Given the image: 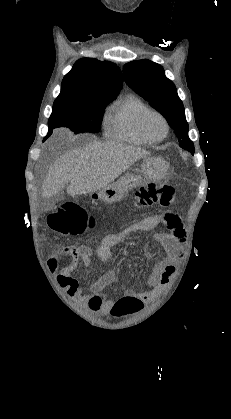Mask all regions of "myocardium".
<instances>
[{"mask_svg":"<svg viewBox=\"0 0 231 419\" xmlns=\"http://www.w3.org/2000/svg\"><path fill=\"white\" fill-rule=\"evenodd\" d=\"M152 115H156V116H158V117H160L161 118V120L163 121V123H164V125H165V132H164V134L161 136V137H159V138H154V137H152L149 133H148V131H147V129H146V122H147V119L150 117V116H152ZM139 130H140V132H141V134H142V136L146 139V140H148L149 142H151V143H156V142H160V141H162L163 139H165L166 138V136L168 135V133H169V130H170V126H169V122H168V120H167V118L161 113V112H159V111H157V110H148L147 112H145L142 116H141V118H140V120H139Z\"/></svg>","mask_w":231,"mask_h":419,"instance_id":"f54148a6","label":"myocardium"}]
</instances>
